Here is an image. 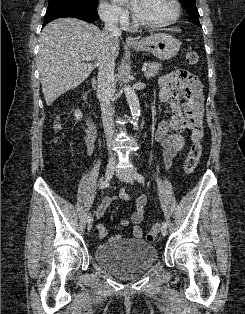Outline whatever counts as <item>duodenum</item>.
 Masks as SVG:
<instances>
[{
	"label": "duodenum",
	"mask_w": 245,
	"mask_h": 314,
	"mask_svg": "<svg viewBox=\"0 0 245 314\" xmlns=\"http://www.w3.org/2000/svg\"><path fill=\"white\" fill-rule=\"evenodd\" d=\"M95 85V80L92 81V86L86 88L82 93V98L86 106L92 111H95V107L93 106L92 102L90 101V94L92 92L93 86Z\"/></svg>",
	"instance_id": "410a0bca"
}]
</instances>
